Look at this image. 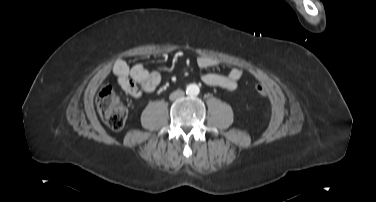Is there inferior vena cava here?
<instances>
[{"instance_id":"obj_1","label":"inferior vena cava","mask_w":376,"mask_h":202,"mask_svg":"<svg viewBox=\"0 0 376 202\" xmlns=\"http://www.w3.org/2000/svg\"><path fill=\"white\" fill-rule=\"evenodd\" d=\"M183 96H184V91L176 90V91H174L170 94L169 99L170 100H176V99L181 98Z\"/></svg>"}]
</instances>
